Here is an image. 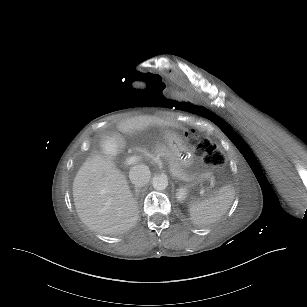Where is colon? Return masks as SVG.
Masks as SVG:
<instances>
[{"instance_id": "5ec220e1", "label": "colon", "mask_w": 307, "mask_h": 307, "mask_svg": "<svg viewBox=\"0 0 307 307\" xmlns=\"http://www.w3.org/2000/svg\"><path fill=\"white\" fill-rule=\"evenodd\" d=\"M204 150V162L214 168H220L225 165V158L220 150L213 146L209 141H202Z\"/></svg>"}]
</instances>
